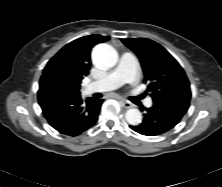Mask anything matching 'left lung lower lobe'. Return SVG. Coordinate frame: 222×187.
I'll return each mask as SVG.
<instances>
[{"mask_svg": "<svg viewBox=\"0 0 222 187\" xmlns=\"http://www.w3.org/2000/svg\"><path fill=\"white\" fill-rule=\"evenodd\" d=\"M190 98L189 94L157 98L153 100V106L146 109L143 122L130 128L146 136L161 135L179 123L189 108Z\"/></svg>", "mask_w": 222, "mask_h": 187, "instance_id": "obj_1", "label": "left lung lower lobe"}]
</instances>
